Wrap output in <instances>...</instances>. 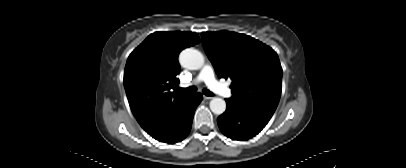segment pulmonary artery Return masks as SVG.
<instances>
[{"instance_id": "e3ab8cb5", "label": "pulmonary artery", "mask_w": 406, "mask_h": 168, "mask_svg": "<svg viewBox=\"0 0 406 168\" xmlns=\"http://www.w3.org/2000/svg\"><path fill=\"white\" fill-rule=\"evenodd\" d=\"M196 82H204L213 92L223 97H230L231 90L218 82L214 76L213 68L206 64L199 72Z\"/></svg>"}]
</instances>
